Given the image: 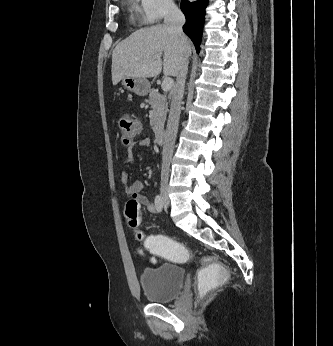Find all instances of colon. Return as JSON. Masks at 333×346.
<instances>
[{"mask_svg":"<svg viewBox=\"0 0 333 346\" xmlns=\"http://www.w3.org/2000/svg\"><path fill=\"white\" fill-rule=\"evenodd\" d=\"M120 136L123 144H131L139 132L138 121L130 114H123L119 119ZM125 221L131 228H137L140 222L139 205L135 199H131L126 203ZM136 236L139 240L143 238L141 231H137ZM145 250L149 256H163L164 260H170L171 264H181L183 260H187V251L185 244H181L180 240H175L174 235L168 233H154L148 235L144 240ZM140 253L143 251L140 249ZM205 261L204 259L202 260ZM152 262H155L152 259ZM211 264H205L204 269H200L199 282L201 287L198 288V298L202 299L206 294L212 293V288H221L222 283H226L230 274L229 269H225L222 257H211Z\"/></svg>","mask_w":333,"mask_h":346,"instance_id":"obj_1","label":"colon"}]
</instances>
